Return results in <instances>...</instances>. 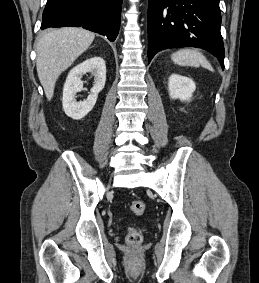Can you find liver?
I'll return each instance as SVG.
<instances>
[{
    "mask_svg": "<svg viewBox=\"0 0 259 283\" xmlns=\"http://www.w3.org/2000/svg\"><path fill=\"white\" fill-rule=\"evenodd\" d=\"M94 38V33L76 27L50 29L43 33L37 43L36 67L49 101L58 77L88 49Z\"/></svg>",
    "mask_w": 259,
    "mask_h": 283,
    "instance_id": "obj_1",
    "label": "liver"
}]
</instances>
